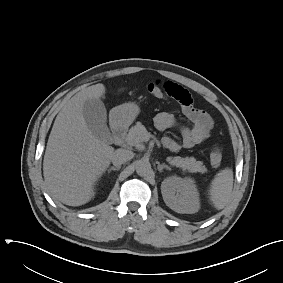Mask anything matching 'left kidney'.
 <instances>
[{
    "label": "left kidney",
    "mask_w": 283,
    "mask_h": 283,
    "mask_svg": "<svg viewBox=\"0 0 283 283\" xmlns=\"http://www.w3.org/2000/svg\"><path fill=\"white\" fill-rule=\"evenodd\" d=\"M164 202L177 213L193 214L200 208L199 195L191 178L171 176L161 184Z\"/></svg>",
    "instance_id": "5707ae66"
}]
</instances>
